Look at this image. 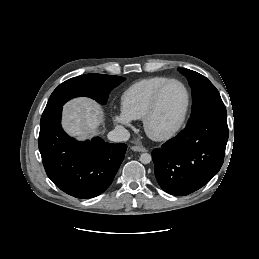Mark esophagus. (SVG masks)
<instances>
[{"mask_svg":"<svg viewBox=\"0 0 259 259\" xmlns=\"http://www.w3.org/2000/svg\"><path fill=\"white\" fill-rule=\"evenodd\" d=\"M131 149L136 152H146L147 149L142 146H132Z\"/></svg>","mask_w":259,"mask_h":259,"instance_id":"34e87169","label":"esophagus"}]
</instances>
